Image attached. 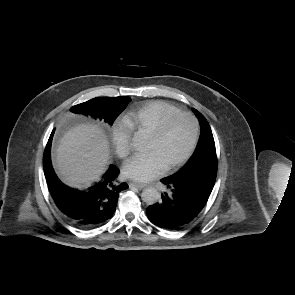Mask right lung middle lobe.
<instances>
[{
  "instance_id": "1",
  "label": "right lung middle lobe",
  "mask_w": 295,
  "mask_h": 295,
  "mask_svg": "<svg viewBox=\"0 0 295 295\" xmlns=\"http://www.w3.org/2000/svg\"><path fill=\"white\" fill-rule=\"evenodd\" d=\"M129 97H98L71 108L73 113L89 115L95 119L103 120L110 125L118 115L126 108ZM44 168H51V160L48 156L43 160Z\"/></svg>"
}]
</instances>
